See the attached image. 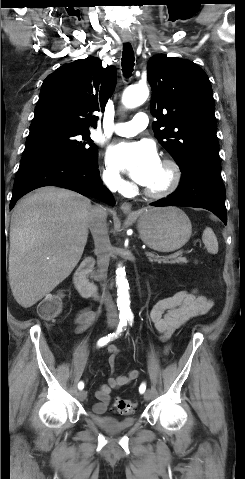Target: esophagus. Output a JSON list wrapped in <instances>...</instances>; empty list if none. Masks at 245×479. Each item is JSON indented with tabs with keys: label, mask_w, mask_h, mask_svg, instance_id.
<instances>
[{
	"label": "esophagus",
	"mask_w": 245,
	"mask_h": 479,
	"mask_svg": "<svg viewBox=\"0 0 245 479\" xmlns=\"http://www.w3.org/2000/svg\"><path fill=\"white\" fill-rule=\"evenodd\" d=\"M125 42H131V40H124ZM121 210L125 213V214H133V211H132V206L130 203L128 202H123L120 206Z\"/></svg>",
	"instance_id": "esophagus-1"
}]
</instances>
